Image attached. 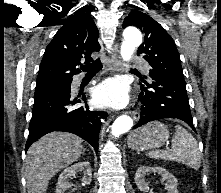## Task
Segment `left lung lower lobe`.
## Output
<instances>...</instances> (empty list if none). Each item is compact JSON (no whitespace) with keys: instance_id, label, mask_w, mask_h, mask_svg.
<instances>
[{"instance_id":"left-lung-lower-lobe-1","label":"left lung lower lobe","mask_w":221,"mask_h":193,"mask_svg":"<svg viewBox=\"0 0 221 193\" xmlns=\"http://www.w3.org/2000/svg\"><path fill=\"white\" fill-rule=\"evenodd\" d=\"M150 77L151 84L144 81V85H141V89L144 90L139 95L141 114L134 129L150 121L177 118L186 122L196 132L184 78L164 74H152Z\"/></svg>"}]
</instances>
